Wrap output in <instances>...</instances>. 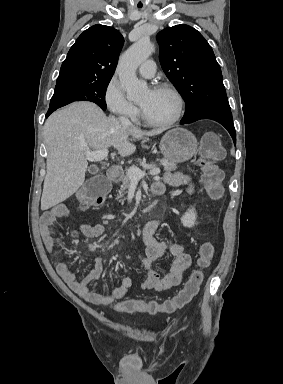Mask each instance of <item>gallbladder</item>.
<instances>
[{
  "label": "gallbladder",
  "instance_id": "gallbladder-1",
  "mask_svg": "<svg viewBox=\"0 0 283 384\" xmlns=\"http://www.w3.org/2000/svg\"><path fill=\"white\" fill-rule=\"evenodd\" d=\"M91 170L92 172H101L102 167L101 165H92Z\"/></svg>",
  "mask_w": 283,
  "mask_h": 384
}]
</instances>
